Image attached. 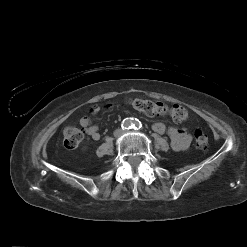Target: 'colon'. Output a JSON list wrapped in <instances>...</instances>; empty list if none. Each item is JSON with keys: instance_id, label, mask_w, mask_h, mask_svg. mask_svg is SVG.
<instances>
[{"instance_id": "obj_1", "label": "colon", "mask_w": 247, "mask_h": 247, "mask_svg": "<svg viewBox=\"0 0 247 247\" xmlns=\"http://www.w3.org/2000/svg\"><path fill=\"white\" fill-rule=\"evenodd\" d=\"M128 103L136 110L147 116L162 117L170 116L176 122L186 121L189 117L188 110L181 105L168 106L161 102H155L148 99L135 98L130 99ZM63 143L67 149H75L83 140V132L76 127L67 126L63 129ZM194 143L199 149H205L208 146V136L202 129L194 131Z\"/></svg>"}]
</instances>
